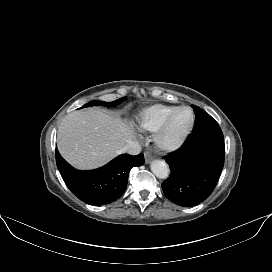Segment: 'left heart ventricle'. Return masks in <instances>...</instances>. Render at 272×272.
<instances>
[{
    "label": "left heart ventricle",
    "instance_id": "obj_1",
    "mask_svg": "<svg viewBox=\"0 0 272 272\" xmlns=\"http://www.w3.org/2000/svg\"><path fill=\"white\" fill-rule=\"evenodd\" d=\"M190 121V112L188 110H181L173 117L168 131L170 139L177 137L183 132Z\"/></svg>",
    "mask_w": 272,
    "mask_h": 272
}]
</instances>
